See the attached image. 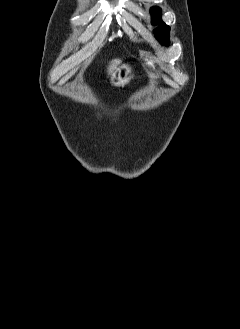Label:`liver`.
Segmentation results:
<instances>
[{"mask_svg": "<svg viewBox=\"0 0 240 329\" xmlns=\"http://www.w3.org/2000/svg\"><path fill=\"white\" fill-rule=\"evenodd\" d=\"M120 63H121L120 59L112 60L108 67V74H111L116 69L117 65H119Z\"/></svg>", "mask_w": 240, "mask_h": 329, "instance_id": "1", "label": "liver"}]
</instances>
